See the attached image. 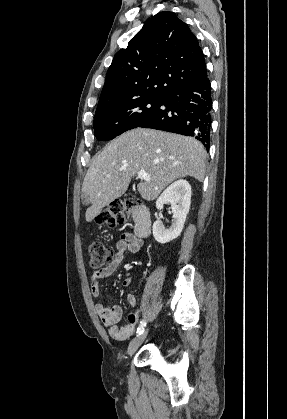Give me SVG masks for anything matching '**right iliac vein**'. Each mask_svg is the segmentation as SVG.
I'll list each match as a JSON object with an SVG mask.
<instances>
[{
  "instance_id": "1",
  "label": "right iliac vein",
  "mask_w": 287,
  "mask_h": 419,
  "mask_svg": "<svg viewBox=\"0 0 287 419\" xmlns=\"http://www.w3.org/2000/svg\"><path fill=\"white\" fill-rule=\"evenodd\" d=\"M147 333H148V329L147 330H145L142 334H140V335H138L136 338H134L131 342H130V344H129V347H128V351H127V353H128V355H133L135 352H136V350L138 349V347L143 343V341L145 340V338H146V336H147Z\"/></svg>"
}]
</instances>
